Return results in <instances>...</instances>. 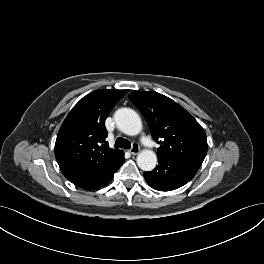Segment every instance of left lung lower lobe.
<instances>
[{"label":"left lung lower lobe","instance_id":"left-lung-lower-lobe-1","mask_svg":"<svg viewBox=\"0 0 264 264\" xmlns=\"http://www.w3.org/2000/svg\"><path fill=\"white\" fill-rule=\"evenodd\" d=\"M198 169L188 163L158 157V165L153 171L144 172L148 185L155 190L171 191L189 182Z\"/></svg>","mask_w":264,"mask_h":264}]
</instances>
